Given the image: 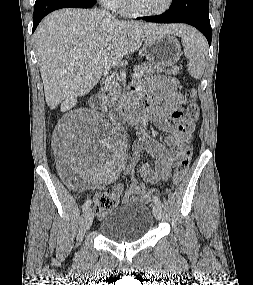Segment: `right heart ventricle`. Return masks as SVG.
I'll list each match as a JSON object with an SVG mask.
<instances>
[{
    "mask_svg": "<svg viewBox=\"0 0 253 285\" xmlns=\"http://www.w3.org/2000/svg\"><path fill=\"white\" fill-rule=\"evenodd\" d=\"M120 11H121L122 13H127V12H128L125 3H123L122 7L120 8Z\"/></svg>",
    "mask_w": 253,
    "mask_h": 285,
    "instance_id": "obj_1",
    "label": "right heart ventricle"
}]
</instances>
